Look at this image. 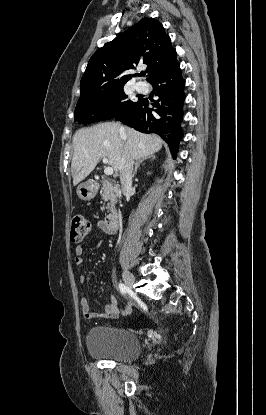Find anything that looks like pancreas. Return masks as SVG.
Segmentation results:
<instances>
[{
  "instance_id": "pancreas-1",
  "label": "pancreas",
  "mask_w": 266,
  "mask_h": 415,
  "mask_svg": "<svg viewBox=\"0 0 266 415\" xmlns=\"http://www.w3.org/2000/svg\"><path fill=\"white\" fill-rule=\"evenodd\" d=\"M102 184L101 196L106 202H108L106 208L111 213H116L115 204L119 198V189L108 180H104Z\"/></svg>"
}]
</instances>
